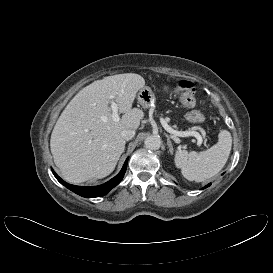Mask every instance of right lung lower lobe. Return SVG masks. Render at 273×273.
I'll return each mask as SVG.
<instances>
[{"mask_svg": "<svg viewBox=\"0 0 273 273\" xmlns=\"http://www.w3.org/2000/svg\"><path fill=\"white\" fill-rule=\"evenodd\" d=\"M127 162L128 158L126 159L123 168L119 172L118 175H116L114 178H112L110 181L107 183L100 185V186H93V187H83V186H76V185H71L63 181L53 170V174L56 177V179L63 184L65 187L73 191L74 193L87 197V198H93V197H100L105 194H107L112 188H114L116 185H118L121 180L124 177V174L126 172L127 168Z\"/></svg>", "mask_w": 273, "mask_h": 273, "instance_id": "98d812e1", "label": "right lung lower lobe"}]
</instances>
